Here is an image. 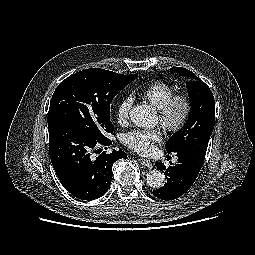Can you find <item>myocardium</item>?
<instances>
[{
	"mask_svg": "<svg viewBox=\"0 0 255 255\" xmlns=\"http://www.w3.org/2000/svg\"><path fill=\"white\" fill-rule=\"evenodd\" d=\"M192 107L187 94H174L158 109L160 124L169 133L180 132L190 119Z\"/></svg>",
	"mask_w": 255,
	"mask_h": 255,
	"instance_id": "1",
	"label": "myocardium"
}]
</instances>
